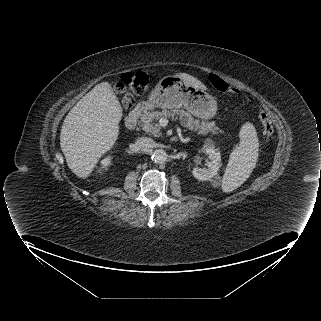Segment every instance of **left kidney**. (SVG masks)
Instances as JSON below:
<instances>
[{
	"instance_id": "obj_1",
	"label": "left kidney",
	"mask_w": 321,
	"mask_h": 321,
	"mask_svg": "<svg viewBox=\"0 0 321 321\" xmlns=\"http://www.w3.org/2000/svg\"><path fill=\"white\" fill-rule=\"evenodd\" d=\"M204 148L210 158V161L207 163L208 168L202 169L195 167L192 170L193 176L200 181L211 180L217 175V172L222 165L220 151L215 148L210 141L206 143Z\"/></svg>"
}]
</instances>
